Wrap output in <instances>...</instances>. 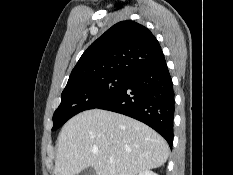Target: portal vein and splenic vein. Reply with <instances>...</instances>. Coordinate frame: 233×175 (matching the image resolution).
Listing matches in <instances>:
<instances>
[{
    "label": "portal vein and splenic vein",
    "mask_w": 233,
    "mask_h": 175,
    "mask_svg": "<svg viewBox=\"0 0 233 175\" xmlns=\"http://www.w3.org/2000/svg\"><path fill=\"white\" fill-rule=\"evenodd\" d=\"M114 162V159L113 158H110L109 159V163H113Z\"/></svg>",
    "instance_id": "obj_1"
}]
</instances>
